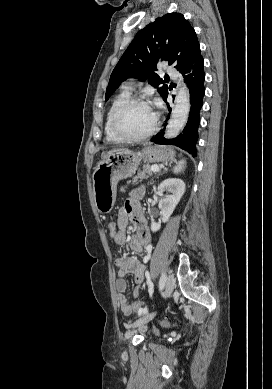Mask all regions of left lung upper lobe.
<instances>
[{
	"mask_svg": "<svg viewBox=\"0 0 272 389\" xmlns=\"http://www.w3.org/2000/svg\"><path fill=\"white\" fill-rule=\"evenodd\" d=\"M199 42L195 30L180 13H168L157 18L140 30L114 68L105 100L127 78L137 77L141 81L148 79L149 84L157 88L163 99L168 95L167 85L160 86L163 80L154 71L159 61L176 63L181 71Z\"/></svg>",
	"mask_w": 272,
	"mask_h": 389,
	"instance_id": "1",
	"label": "left lung upper lobe"
}]
</instances>
